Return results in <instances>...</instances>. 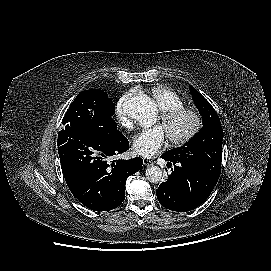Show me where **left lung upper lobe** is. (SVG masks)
<instances>
[{
  "instance_id": "left-lung-upper-lobe-1",
  "label": "left lung upper lobe",
  "mask_w": 271,
  "mask_h": 271,
  "mask_svg": "<svg viewBox=\"0 0 271 271\" xmlns=\"http://www.w3.org/2000/svg\"><path fill=\"white\" fill-rule=\"evenodd\" d=\"M189 89L202 116L203 127L185 148H175L166 153L175 161L195 166L218 179L222 161L221 123L212 105L193 86L189 85Z\"/></svg>"
}]
</instances>
